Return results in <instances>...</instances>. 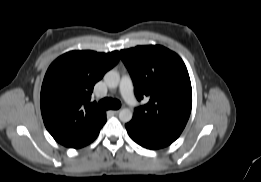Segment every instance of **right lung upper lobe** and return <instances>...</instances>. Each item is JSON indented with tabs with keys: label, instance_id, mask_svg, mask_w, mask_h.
<instances>
[{
	"label": "right lung upper lobe",
	"instance_id": "1",
	"mask_svg": "<svg viewBox=\"0 0 261 182\" xmlns=\"http://www.w3.org/2000/svg\"><path fill=\"white\" fill-rule=\"evenodd\" d=\"M119 61V52L70 51L48 68L40 95L41 113L48 132L69 148L85 146L104 124L106 114L91 93L97 81Z\"/></svg>",
	"mask_w": 261,
	"mask_h": 182
}]
</instances>
